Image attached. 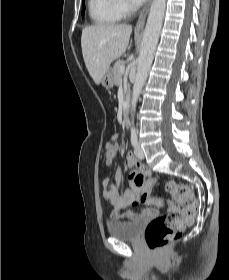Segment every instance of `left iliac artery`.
Masks as SVG:
<instances>
[{
  "instance_id": "obj_1",
  "label": "left iliac artery",
  "mask_w": 229,
  "mask_h": 280,
  "mask_svg": "<svg viewBox=\"0 0 229 280\" xmlns=\"http://www.w3.org/2000/svg\"><path fill=\"white\" fill-rule=\"evenodd\" d=\"M131 144L134 147L137 145V131L135 129L131 131Z\"/></svg>"
}]
</instances>
